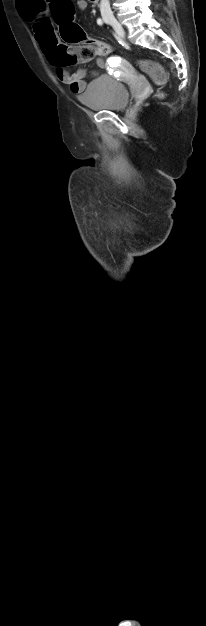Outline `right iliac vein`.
I'll return each mask as SVG.
<instances>
[{
    "mask_svg": "<svg viewBox=\"0 0 206 626\" xmlns=\"http://www.w3.org/2000/svg\"><path fill=\"white\" fill-rule=\"evenodd\" d=\"M105 22L110 24L119 36L121 37L125 36L124 28L114 17L112 16L105 17Z\"/></svg>",
    "mask_w": 206,
    "mask_h": 626,
    "instance_id": "right-iliac-vein-1",
    "label": "right iliac vein"
}]
</instances>
